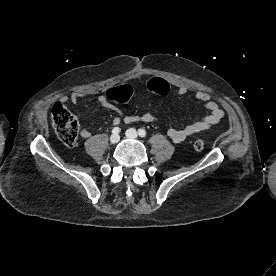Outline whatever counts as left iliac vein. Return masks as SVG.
I'll use <instances>...</instances> for the list:
<instances>
[{"instance_id":"left-iliac-vein-1","label":"left iliac vein","mask_w":276,"mask_h":276,"mask_svg":"<svg viewBox=\"0 0 276 276\" xmlns=\"http://www.w3.org/2000/svg\"><path fill=\"white\" fill-rule=\"evenodd\" d=\"M126 136L130 139H137L138 138V133L135 129L130 128L126 131Z\"/></svg>"}]
</instances>
